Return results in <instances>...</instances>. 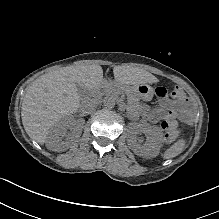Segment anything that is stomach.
I'll return each instance as SVG.
<instances>
[{
    "label": "stomach",
    "mask_w": 219,
    "mask_h": 219,
    "mask_svg": "<svg viewBox=\"0 0 219 219\" xmlns=\"http://www.w3.org/2000/svg\"><path fill=\"white\" fill-rule=\"evenodd\" d=\"M134 90L139 97H143V98L154 93V89L147 83H143L141 85L135 86Z\"/></svg>",
    "instance_id": "obj_1"
}]
</instances>
